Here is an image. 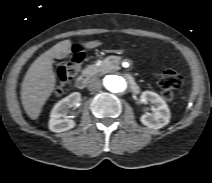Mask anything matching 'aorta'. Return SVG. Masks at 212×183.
<instances>
[{
    "label": "aorta",
    "instance_id": "1",
    "mask_svg": "<svg viewBox=\"0 0 212 183\" xmlns=\"http://www.w3.org/2000/svg\"><path fill=\"white\" fill-rule=\"evenodd\" d=\"M104 87L112 93H123L127 89V81L124 77L118 75H107L103 79Z\"/></svg>",
    "mask_w": 212,
    "mask_h": 183
}]
</instances>
